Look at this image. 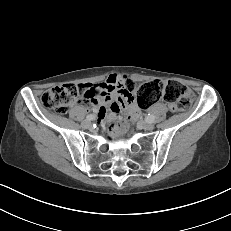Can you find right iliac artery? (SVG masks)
Listing matches in <instances>:
<instances>
[{
	"instance_id": "82829eb1",
	"label": "right iliac artery",
	"mask_w": 231,
	"mask_h": 231,
	"mask_svg": "<svg viewBox=\"0 0 231 231\" xmlns=\"http://www.w3.org/2000/svg\"><path fill=\"white\" fill-rule=\"evenodd\" d=\"M86 119L87 120H94L95 119V115H93V114L87 115Z\"/></svg>"
}]
</instances>
